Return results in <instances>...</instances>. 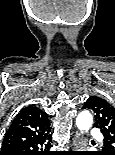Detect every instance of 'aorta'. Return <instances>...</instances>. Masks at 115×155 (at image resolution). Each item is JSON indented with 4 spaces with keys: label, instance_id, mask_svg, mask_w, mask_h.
I'll return each instance as SVG.
<instances>
[{
    "label": "aorta",
    "instance_id": "1",
    "mask_svg": "<svg viewBox=\"0 0 115 155\" xmlns=\"http://www.w3.org/2000/svg\"><path fill=\"white\" fill-rule=\"evenodd\" d=\"M93 123V117L89 111H82L76 118V125L82 131H87Z\"/></svg>",
    "mask_w": 115,
    "mask_h": 155
}]
</instances>
